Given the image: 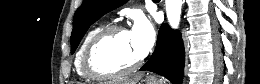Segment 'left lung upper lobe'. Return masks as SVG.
<instances>
[{"label":"left lung upper lobe","mask_w":260,"mask_h":84,"mask_svg":"<svg viewBox=\"0 0 260 84\" xmlns=\"http://www.w3.org/2000/svg\"><path fill=\"white\" fill-rule=\"evenodd\" d=\"M127 0H83L76 11L71 35V53H73L89 26L107 12L126 3Z\"/></svg>","instance_id":"left-lung-upper-lobe-1"}]
</instances>
